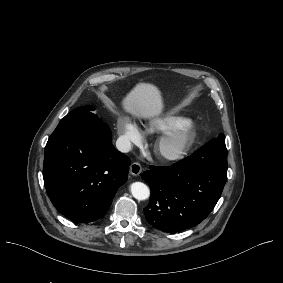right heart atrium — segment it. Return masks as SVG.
<instances>
[{"label":"right heart atrium","instance_id":"d8ad5b80","mask_svg":"<svg viewBox=\"0 0 283 283\" xmlns=\"http://www.w3.org/2000/svg\"><path fill=\"white\" fill-rule=\"evenodd\" d=\"M116 133L119 142L125 148L139 145L142 142L140 126L126 115H119L116 120Z\"/></svg>","mask_w":283,"mask_h":283}]
</instances>
